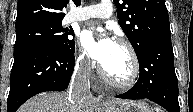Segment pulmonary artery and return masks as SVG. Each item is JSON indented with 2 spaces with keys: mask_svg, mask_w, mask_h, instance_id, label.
I'll return each mask as SVG.
<instances>
[{
  "mask_svg": "<svg viewBox=\"0 0 193 112\" xmlns=\"http://www.w3.org/2000/svg\"><path fill=\"white\" fill-rule=\"evenodd\" d=\"M113 12V5L110 0H103L97 5L85 7L80 10L72 11L67 17L66 22L84 21L92 18H109Z\"/></svg>",
  "mask_w": 193,
  "mask_h": 112,
  "instance_id": "pulmonary-artery-1",
  "label": "pulmonary artery"
}]
</instances>
